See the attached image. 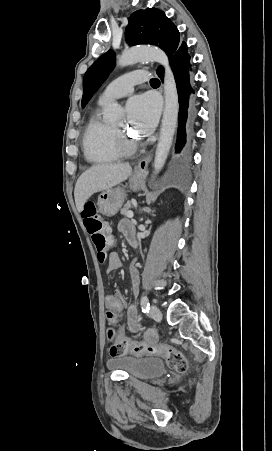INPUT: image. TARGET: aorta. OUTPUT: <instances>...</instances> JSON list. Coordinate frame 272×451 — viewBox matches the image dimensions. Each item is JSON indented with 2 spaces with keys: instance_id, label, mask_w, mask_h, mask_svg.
Returning <instances> with one entry per match:
<instances>
[{
  "instance_id": "obj_1",
  "label": "aorta",
  "mask_w": 272,
  "mask_h": 451,
  "mask_svg": "<svg viewBox=\"0 0 272 451\" xmlns=\"http://www.w3.org/2000/svg\"><path fill=\"white\" fill-rule=\"evenodd\" d=\"M158 62L165 68L164 74V112L161 124V130L159 134V140L155 152L154 168L156 174L163 168L165 160L168 158L170 148L172 146L175 130L177 128L179 102L178 92L173 76V72L169 66V60L159 48H130V50H124L123 54L117 58V66L124 68V66H132L136 62ZM111 110L104 116V122L114 124V122H121L123 120V112L121 106L117 102H111L109 104Z\"/></svg>"
}]
</instances>
